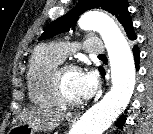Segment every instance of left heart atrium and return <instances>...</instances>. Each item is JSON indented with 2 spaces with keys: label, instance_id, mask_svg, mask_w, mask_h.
Wrapping results in <instances>:
<instances>
[{
  "label": "left heart atrium",
  "instance_id": "left-heart-atrium-1",
  "mask_svg": "<svg viewBox=\"0 0 153 134\" xmlns=\"http://www.w3.org/2000/svg\"><path fill=\"white\" fill-rule=\"evenodd\" d=\"M97 86L96 77L92 72L80 73V93L82 99L90 98Z\"/></svg>",
  "mask_w": 153,
  "mask_h": 134
}]
</instances>
